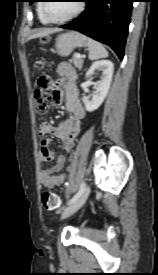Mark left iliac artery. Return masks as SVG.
<instances>
[{
	"label": "left iliac artery",
	"mask_w": 158,
	"mask_h": 275,
	"mask_svg": "<svg viewBox=\"0 0 158 275\" xmlns=\"http://www.w3.org/2000/svg\"><path fill=\"white\" fill-rule=\"evenodd\" d=\"M84 189H85V183H82L81 186H80V188H79V190H78V192L72 197V199L68 202V204L70 205L73 202H75L81 196V194L83 193Z\"/></svg>",
	"instance_id": "left-iliac-artery-1"
}]
</instances>
